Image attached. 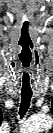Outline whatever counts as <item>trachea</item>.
Returning <instances> with one entry per match:
<instances>
[{
    "mask_svg": "<svg viewBox=\"0 0 53 133\" xmlns=\"http://www.w3.org/2000/svg\"><path fill=\"white\" fill-rule=\"evenodd\" d=\"M31 97H32V90L30 88L21 89V105L19 111L20 118H23L24 115L26 114L30 106Z\"/></svg>",
    "mask_w": 53,
    "mask_h": 133,
    "instance_id": "3493384b",
    "label": "trachea"
}]
</instances>
